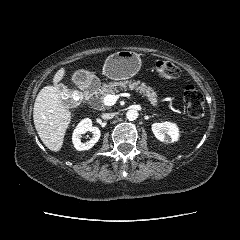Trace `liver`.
<instances>
[{"label":"liver","instance_id":"liver-1","mask_svg":"<svg viewBox=\"0 0 240 240\" xmlns=\"http://www.w3.org/2000/svg\"><path fill=\"white\" fill-rule=\"evenodd\" d=\"M64 76L65 69H59L53 78L54 85L45 86L38 93L33 109L36 131L43 144L54 152L61 150L71 122V112L63 105L57 87Z\"/></svg>","mask_w":240,"mask_h":240}]
</instances>
